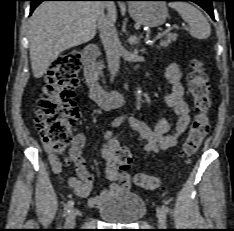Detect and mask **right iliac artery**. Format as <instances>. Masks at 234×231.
<instances>
[{"mask_svg": "<svg viewBox=\"0 0 234 231\" xmlns=\"http://www.w3.org/2000/svg\"><path fill=\"white\" fill-rule=\"evenodd\" d=\"M73 205H74L73 200L68 201L64 206V214L68 213L73 207Z\"/></svg>", "mask_w": 234, "mask_h": 231, "instance_id": "right-iliac-artery-1", "label": "right iliac artery"}]
</instances>
